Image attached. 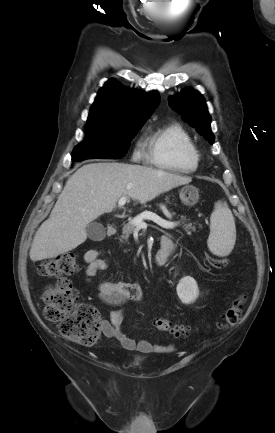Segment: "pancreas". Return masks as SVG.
I'll return each mask as SVG.
<instances>
[{
  "label": "pancreas",
  "mask_w": 275,
  "mask_h": 433,
  "mask_svg": "<svg viewBox=\"0 0 275 433\" xmlns=\"http://www.w3.org/2000/svg\"><path fill=\"white\" fill-rule=\"evenodd\" d=\"M146 212L147 211H144L143 213H146ZM140 215H138L137 217H139ZM181 220H182V223H181L180 226L188 234H191V232H195L196 231V227L192 223H186V219L184 217H182ZM135 227L136 226L132 222H129V223L125 224L123 226V228H122V236H121L122 240H128L130 234H132L134 232Z\"/></svg>",
  "instance_id": "obj_1"
}]
</instances>
